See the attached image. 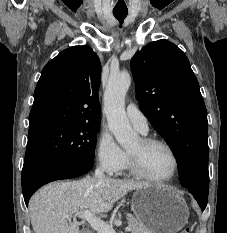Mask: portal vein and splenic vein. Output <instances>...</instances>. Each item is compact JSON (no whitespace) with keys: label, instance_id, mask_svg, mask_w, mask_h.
<instances>
[{"label":"portal vein and splenic vein","instance_id":"18ae733b","mask_svg":"<svg viewBox=\"0 0 227 233\" xmlns=\"http://www.w3.org/2000/svg\"><path fill=\"white\" fill-rule=\"evenodd\" d=\"M73 215L75 217L77 216L83 220H86L91 225V227L98 233H116L112 225L105 223L88 210H84L82 212H75ZM65 217L71 218L72 214L65 215ZM125 230L131 231L132 229L128 226L125 228Z\"/></svg>","mask_w":227,"mask_h":233}]
</instances>
